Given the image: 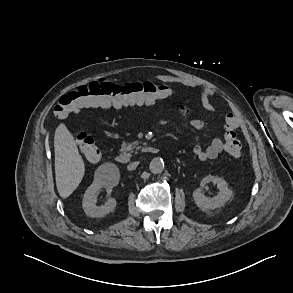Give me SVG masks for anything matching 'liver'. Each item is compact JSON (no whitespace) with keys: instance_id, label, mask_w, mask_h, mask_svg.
<instances>
[{"instance_id":"obj_1","label":"liver","mask_w":293,"mask_h":293,"mask_svg":"<svg viewBox=\"0 0 293 293\" xmlns=\"http://www.w3.org/2000/svg\"><path fill=\"white\" fill-rule=\"evenodd\" d=\"M54 151L57 190L62 198H67L82 181L85 165L72 134L63 123L55 131Z\"/></svg>"}]
</instances>
